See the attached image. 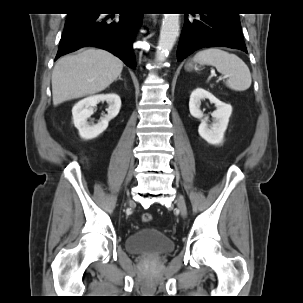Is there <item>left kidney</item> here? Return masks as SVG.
<instances>
[{"label": "left kidney", "instance_id": "left-kidney-1", "mask_svg": "<svg viewBox=\"0 0 303 303\" xmlns=\"http://www.w3.org/2000/svg\"><path fill=\"white\" fill-rule=\"evenodd\" d=\"M202 99H209L216 106V110L211 114L213 118L211 125L207 124L208 117H204L200 110ZM189 110L194 118L201 119V124L198 128L199 135L209 144H221L232 113V106L220 101L210 92L197 88L190 95Z\"/></svg>", "mask_w": 303, "mask_h": 303}]
</instances>
